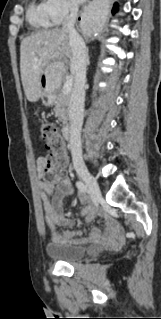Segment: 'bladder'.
Instances as JSON below:
<instances>
[{"instance_id": "1", "label": "bladder", "mask_w": 161, "mask_h": 319, "mask_svg": "<svg viewBox=\"0 0 161 319\" xmlns=\"http://www.w3.org/2000/svg\"><path fill=\"white\" fill-rule=\"evenodd\" d=\"M45 252L51 259L63 262H73L84 256L85 248L79 244L53 240L47 244Z\"/></svg>"}]
</instances>
